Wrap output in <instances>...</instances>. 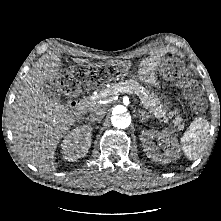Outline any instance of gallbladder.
Instances as JSON below:
<instances>
[{"mask_svg": "<svg viewBox=\"0 0 221 221\" xmlns=\"http://www.w3.org/2000/svg\"><path fill=\"white\" fill-rule=\"evenodd\" d=\"M44 92L47 94V96L51 99L60 100L61 98V92H62V86L59 81H48L43 86Z\"/></svg>", "mask_w": 221, "mask_h": 221, "instance_id": "1", "label": "gallbladder"}]
</instances>
